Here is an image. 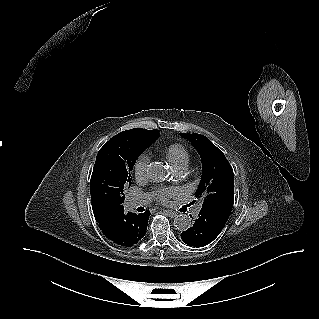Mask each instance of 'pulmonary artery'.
I'll return each instance as SVG.
<instances>
[{"mask_svg":"<svg viewBox=\"0 0 319 319\" xmlns=\"http://www.w3.org/2000/svg\"><path fill=\"white\" fill-rule=\"evenodd\" d=\"M186 168H187V166L180 167V168L176 169L177 174L178 175H182L185 172ZM141 203H142V201L139 200V199H132L130 201V206L131 207H136V206L140 205ZM199 211H200V206H197L195 208V212L198 213Z\"/></svg>","mask_w":319,"mask_h":319,"instance_id":"obj_1","label":"pulmonary artery"}]
</instances>
